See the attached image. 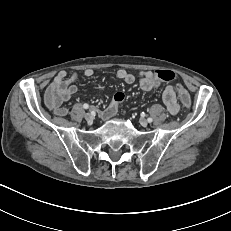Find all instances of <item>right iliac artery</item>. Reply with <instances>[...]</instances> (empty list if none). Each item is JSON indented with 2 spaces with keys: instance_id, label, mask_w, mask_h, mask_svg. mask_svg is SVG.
Listing matches in <instances>:
<instances>
[{
  "instance_id": "1",
  "label": "right iliac artery",
  "mask_w": 231,
  "mask_h": 231,
  "mask_svg": "<svg viewBox=\"0 0 231 231\" xmlns=\"http://www.w3.org/2000/svg\"><path fill=\"white\" fill-rule=\"evenodd\" d=\"M83 108H84V109H88V108H89V105H88V104H84V105H83Z\"/></svg>"
}]
</instances>
